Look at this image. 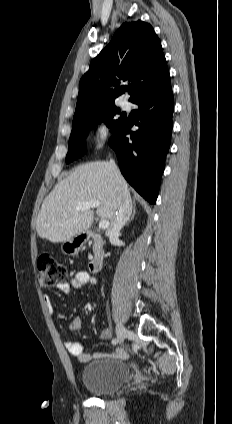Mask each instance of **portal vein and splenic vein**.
I'll list each match as a JSON object with an SVG mask.
<instances>
[{
    "label": "portal vein and splenic vein",
    "mask_w": 232,
    "mask_h": 424,
    "mask_svg": "<svg viewBox=\"0 0 232 424\" xmlns=\"http://www.w3.org/2000/svg\"><path fill=\"white\" fill-rule=\"evenodd\" d=\"M100 205V202L98 200H93V201H87V202H82L80 204L77 205L76 210L77 211H84L90 208H96ZM109 227V221L108 220H101L99 222V228L101 229H107Z\"/></svg>",
    "instance_id": "18ae733b"
}]
</instances>
